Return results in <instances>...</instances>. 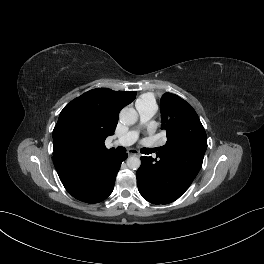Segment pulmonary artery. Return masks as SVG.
I'll return each instance as SVG.
<instances>
[{"mask_svg":"<svg viewBox=\"0 0 264 264\" xmlns=\"http://www.w3.org/2000/svg\"><path fill=\"white\" fill-rule=\"evenodd\" d=\"M136 108L139 113L141 125L145 124L148 120H150L156 112V107L149 104L137 105ZM137 138H138V131L131 130L126 134H124L123 136L119 137L117 140H115L114 145L130 146L137 140Z\"/></svg>","mask_w":264,"mask_h":264,"instance_id":"pulmonary-artery-1","label":"pulmonary artery"}]
</instances>
